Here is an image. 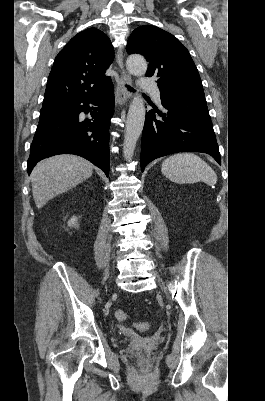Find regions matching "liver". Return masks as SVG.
<instances>
[{"instance_id": "obj_1", "label": "liver", "mask_w": 265, "mask_h": 401, "mask_svg": "<svg viewBox=\"0 0 265 401\" xmlns=\"http://www.w3.org/2000/svg\"><path fill=\"white\" fill-rule=\"evenodd\" d=\"M93 164L74 154H58L44 158L31 172L32 194L37 209H42L50 198L70 190L91 176Z\"/></svg>"}]
</instances>
